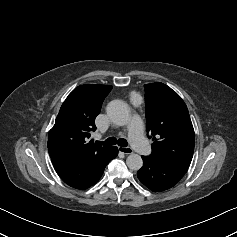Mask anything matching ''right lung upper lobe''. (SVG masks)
<instances>
[{
	"label": "right lung upper lobe",
	"instance_id": "cb5924a9",
	"mask_svg": "<svg viewBox=\"0 0 237 237\" xmlns=\"http://www.w3.org/2000/svg\"><path fill=\"white\" fill-rule=\"evenodd\" d=\"M112 86L87 84L78 86L66 98L56 118L53 128L48 133V150L86 160L101 155L110 147L94 145L90 131H95L94 124L102 102Z\"/></svg>",
	"mask_w": 237,
	"mask_h": 237
}]
</instances>
